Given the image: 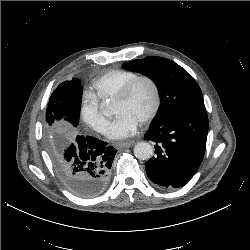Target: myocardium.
Listing matches in <instances>:
<instances>
[{
    "label": "myocardium",
    "mask_w": 250,
    "mask_h": 250,
    "mask_svg": "<svg viewBox=\"0 0 250 250\" xmlns=\"http://www.w3.org/2000/svg\"><path fill=\"white\" fill-rule=\"evenodd\" d=\"M141 82H146L150 85L154 96V104L151 111L141 121L142 123H147L156 117L161 106L160 89L158 87V84L152 77L147 75H139L132 79L119 91V93L115 97V102H124L128 100L136 86Z\"/></svg>",
    "instance_id": "f54148a6"
}]
</instances>
